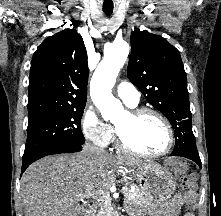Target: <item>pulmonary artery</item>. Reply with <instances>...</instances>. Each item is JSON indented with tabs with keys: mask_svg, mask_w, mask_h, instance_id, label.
Here are the masks:
<instances>
[{
	"mask_svg": "<svg viewBox=\"0 0 221 216\" xmlns=\"http://www.w3.org/2000/svg\"><path fill=\"white\" fill-rule=\"evenodd\" d=\"M118 97L128 106H137L140 101V93L130 82L122 81L116 87Z\"/></svg>",
	"mask_w": 221,
	"mask_h": 216,
	"instance_id": "obj_1",
	"label": "pulmonary artery"
}]
</instances>
